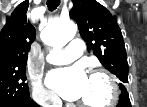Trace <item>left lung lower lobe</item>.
Instances as JSON below:
<instances>
[{
  "instance_id": "obj_1",
  "label": "left lung lower lobe",
  "mask_w": 147,
  "mask_h": 107,
  "mask_svg": "<svg viewBox=\"0 0 147 107\" xmlns=\"http://www.w3.org/2000/svg\"><path fill=\"white\" fill-rule=\"evenodd\" d=\"M116 107H131L130 99L127 90H122L119 96V102Z\"/></svg>"
}]
</instances>
